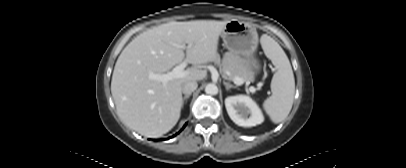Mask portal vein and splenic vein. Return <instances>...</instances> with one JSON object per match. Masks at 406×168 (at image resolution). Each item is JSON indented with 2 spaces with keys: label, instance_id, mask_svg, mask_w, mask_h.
Here are the masks:
<instances>
[{
  "label": "portal vein and splenic vein",
  "instance_id": "18ae733b",
  "mask_svg": "<svg viewBox=\"0 0 406 168\" xmlns=\"http://www.w3.org/2000/svg\"><path fill=\"white\" fill-rule=\"evenodd\" d=\"M182 48H186V46H185V45H182ZM187 63H188V62L185 60V61H183L181 64H179L178 66H176L175 68H173L172 71L167 72V73H165V74H151V75H150V78L153 79V80L160 81V82H162V83L165 85L168 81H170V80H172V79L184 77V76L186 75V71H185L184 69H185V67L187 66ZM233 81H234V83L237 84V85H242V84L244 83V81H243L241 78H239V77H235V78L233 79ZM249 91H250L251 93H255V92H256V88L253 87V86H251V87L249 88Z\"/></svg>",
  "mask_w": 406,
  "mask_h": 168
}]
</instances>
